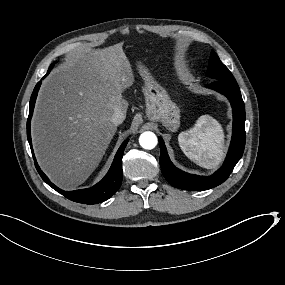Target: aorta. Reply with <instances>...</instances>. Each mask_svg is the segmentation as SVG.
<instances>
[{
  "mask_svg": "<svg viewBox=\"0 0 285 285\" xmlns=\"http://www.w3.org/2000/svg\"><path fill=\"white\" fill-rule=\"evenodd\" d=\"M139 142L142 148L151 150L156 147L158 140L154 133L144 132L141 134Z\"/></svg>",
  "mask_w": 285,
  "mask_h": 285,
  "instance_id": "aorta-1",
  "label": "aorta"
}]
</instances>
